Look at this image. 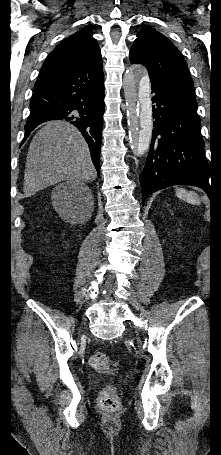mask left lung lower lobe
<instances>
[{
	"instance_id": "obj_1",
	"label": "left lung lower lobe",
	"mask_w": 221,
	"mask_h": 455,
	"mask_svg": "<svg viewBox=\"0 0 221 455\" xmlns=\"http://www.w3.org/2000/svg\"><path fill=\"white\" fill-rule=\"evenodd\" d=\"M154 130L145 168L140 175L142 196L171 185L188 184L210 192L209 168L200 133L197 105L151 84Z\"/></svg>"
}]
</instances>
